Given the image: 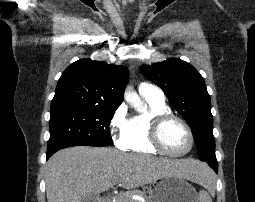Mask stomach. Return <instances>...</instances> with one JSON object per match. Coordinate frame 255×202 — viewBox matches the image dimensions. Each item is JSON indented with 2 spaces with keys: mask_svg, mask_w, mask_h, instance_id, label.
Listing matches in <instances>:
<instances>
[{
  "mask_svg": "<svg viewBox=\"0 0 255 202\" xmlns=\"http://www.w3.org/2000/svg\"><path fill=\"white\" fill-rule=\"evenodd\" d=\"M149 202H198L194 187L176 175H165L147 187Z\"/></svg>",
  "mask_w": 255,
  "mask_h": 202,
  "instance_id": "0dacf381",
  "label": "stomach"
}]
</instances>
